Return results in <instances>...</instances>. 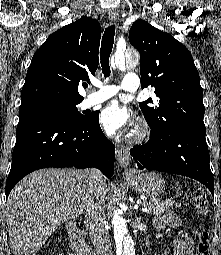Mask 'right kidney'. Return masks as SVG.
<instances>
[{
  "mask_svg": "<svg viewBox=\"0 0 221 255\" xmlns=\"http://www.w3.org/2000/svg\"><path fill=\"white\" fill-rule=\"evenodd\" d=\"M69 255H74V254L73 253H71V254L69 253Z\"/></svg>",
  "mask_w": 221,
  "mask_h": 255,
  "instance_id": "right-kidney-1",
  "label": "right kidney"
}]
</instances>
